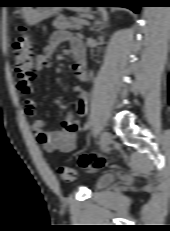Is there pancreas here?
I'll return each mask as SVG.
<instances>
[{"instance_id":"cf45deb5","label":"pancreas","mask_w":170,"mask_h":231,"mask_svg":"<svg viewBox=\"0 0 170 231\" xmlns=\"http://www.w3.org/2000/svg\"><path fill=\"white\" fill-rule=\"evenodd\" d=\"M52 25L57 29H81L82 25L72 21V18H67L64 15H58Z\"/></svg>"}]
</instances>
